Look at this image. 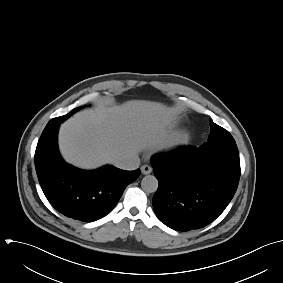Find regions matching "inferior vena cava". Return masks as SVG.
Masks as SVG:
<instances>
[{
	"label": "inferior vena cava",
	"instance_id": "1",
	"mask_svg": "<svg viewBox=\"0 0 283 283\" xmlns=\"http://www.w3.org/2000/svg\"><path fill=\"white\" fill-rule=\"evenodd\" d=\"M113 164L123 170H135L140 165V159L137 155L130 154L116 159Z\"/></svg>",
	"mask_w": 283,
	"mask_h": 283
}]
</instances>
